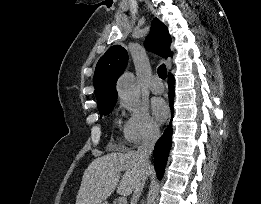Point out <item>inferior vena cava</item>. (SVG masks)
<instances>
[{
  "label": "inferior vena cava",
  "mask_w": 261,
  "mask_h": 204,
  "mask_svg": "<svg viewBox=\"0 0 261 204\" xmlns=\"http://www.w3.org/2000/svg\"><path fill=\"white\" fill-rule=\"evenodd\" d=\"M160 136L159 128L156 126L150 127L144 135L141 143L138 146L137 156L140 166L143 170L149 167V157L153 151L154 145ZM145 183V177L137 184L131 198V204H137Z\"/></svg>",
  "instance_id": "inferior-vena-cava-1"
}]
</instances>
